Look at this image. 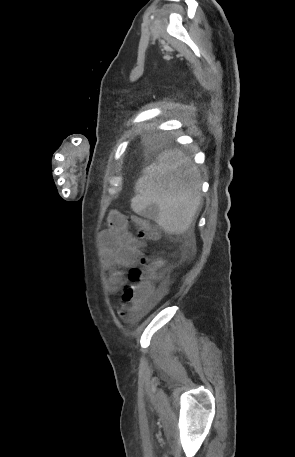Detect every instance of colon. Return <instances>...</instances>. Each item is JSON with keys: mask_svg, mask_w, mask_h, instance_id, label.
<instances>
[{"mask_svg": "<svg viewBox=\"0 0 295 457\" xmlns=\"http://www.w3.org/2000/svg\"><path fill=\"white\" fill-rule=\"evenodd\" d=\"M132 220L138 228L140 239H158V231L149 220L138 216H133ZM162 265L163 262L159 258L143 256L140 266L129 270V284L122 294L121 317L134 319L143 311L153 291L152 281L158 278Z\"/></svg>", "mask_w": 295, "mask_h": 457, "instance_id": "obj_1", "label": "colon"}]
</instances>
